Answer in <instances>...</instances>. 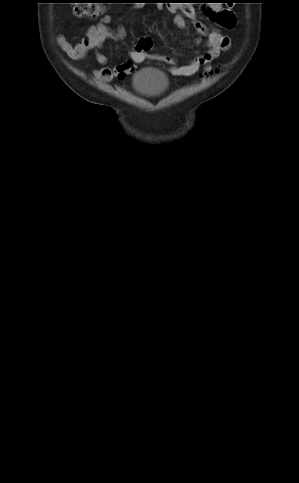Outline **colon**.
<instances>
[{
  "label": "colon",
  "mask_w": 299,
  "mask_h": 483,
  "mask_svg": "<svg viewBox=\"0 0 299 483\" xmlns=\"http://www.w3.org/2000/svg\"><path fill=\"white\" fill-rule=\"evenodd\" d=\"M76 3L73 10L76 17L96 18L103 13L105 3L109 2L108 0H78ZM191 3H195L194 0Z\"/></svg>",
  "instance_id": "5ec220e1"
}]
</instances>
